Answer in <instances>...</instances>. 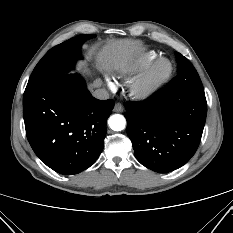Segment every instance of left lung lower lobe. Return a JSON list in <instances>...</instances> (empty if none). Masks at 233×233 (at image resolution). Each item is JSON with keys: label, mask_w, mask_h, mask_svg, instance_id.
<instances>
[{"label": "left lung lower lobe", "mask_w": 233, "mask_h": 233, "mask_svg": "<svg viewBox=\"0 0 233 233\" xmlns=\"http://www.w3.org/2000/svg\"><path fill=\"white\" fill-rule=\"evenodd\" d=\"M127 134L136 159L145 167L168 173L186 164L196 152L205 125V94L157 91L142 102L125 105Z\"/></svg>", "instance_id": "0a47b994"}]
</instances>
